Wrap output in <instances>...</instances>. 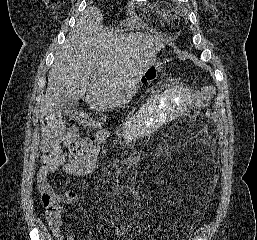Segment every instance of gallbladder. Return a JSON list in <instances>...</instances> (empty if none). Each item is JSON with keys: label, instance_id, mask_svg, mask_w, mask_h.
Returning <instances> with one entry per match:
<instances>
[{"label": "gallbladder", "instance_id": "1", "mask_svg": "<svg viewBox=\"0 0 257 240\" xmlns=\"http://www.w3.org/2000/svg\"><path fill=\"white\" fill-rule=\"evenodd\" d=\"M78 105V101L69 98L64 91L60 94L53 111L57 116H68L77 110Z\"/></svg>", "mask_w": 257, "mask_h": 240}]
</instances>
